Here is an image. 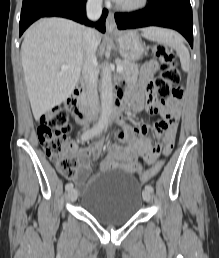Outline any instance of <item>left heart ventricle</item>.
Here are the masks:
<instances>
[{"mask_svg":"<svg viewBox=\"0 0 219 258\" xmlns=\"http://www.w3.org/2000/svg\"><path fill=\"white\" fill-rule=\"evenodd\" d=\"M134 1H137V0H121L120 2H124V3H132Z\"/></svg>","mask_w":219,"mask_h":258,"instance_id":"1","label":"left heart ventricle"}]
</instances>
